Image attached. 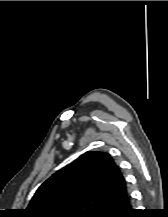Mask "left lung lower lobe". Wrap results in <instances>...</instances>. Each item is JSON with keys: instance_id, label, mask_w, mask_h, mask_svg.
<instances>
[{"instance_id": "0a47b994", "label": "left lung lower lobe", "mask_w": 168, "mask_h": 217, "mask_svg": "<svg viewBox=\"0 0 168 217\" xmlns=\"http://www.w3.org/2000/svg\"><path fill=\"white\" fill-rule=\"evenodd\" d=\"M136 211L132 209L131 197L127 187L112 197L105 209L98 217H135Z\"/></svg>"}]
</instances>
